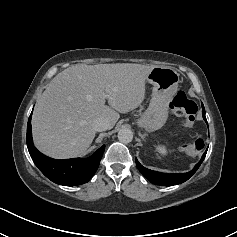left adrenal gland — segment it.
<instances>
[{"label": "left adrenal gland", "mask_w": 237, "mask_h": 237, "mask_svg": "<svg viewBox=\"0 0 237 237\" xmlns=\"http://www.w3.org/2000/svg\"><path fill=\"white\" fill-rule=\"evenodd\" d=\"M140 136H141L142 139H144L146 135L145 134H143V135L140 134Z\"/></svg>", "instance_id": "obj_1"}]
</instances>
